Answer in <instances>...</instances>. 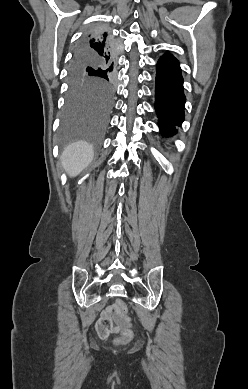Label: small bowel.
I'll list each match as a JSON object with an SVG mask.
<instances>
[{"mask_svg": "<svg viewBox=\"0 0 248 389\" xmlns=\"http://www.w3.org/2000/svg\"><path fill=\"white\" fill-rule=\"evenodd\" d=\"M115 309V307L114 306H108L104 311H103V315L105 316V317H110L111 316V314H112V311Z\"/></svg>", "mask_w": 248, "mask_h": 389, "instance_id": "obj_1", "label": "small bowel"}]
</instances>
